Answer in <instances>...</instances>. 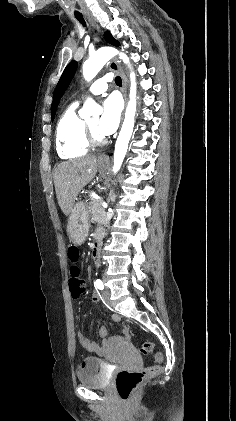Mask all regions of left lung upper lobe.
<instances>
[{
  "instance_id": "obj_1",
  "label": "left lung upper lobe",
  "mask_w": 236,
  "mask_h": 421,
  "mask_svg": "<svg viewBox=\"0 0 236 421\" xmlns=\"http://www.w3.org/2000/svg\"><path fill=\"white\" fill-rule=\"evenodd\" d=\"M104 38L108 43H110L114 46L120 45L119 42L116 39H114L108 31L104 33ZM76 68H77L76 61H71L63 71V74H62V76H61V78H60V80H59V82L56 86L54 96H53V103H52V106H51L52 119L55 116L56 107L59 103V100H60L61 96L63 95L64 91L66 90V88L68 87L69 83L71 82V80H72V78L75 74Z\"/></svg>"
}]
</instances>
